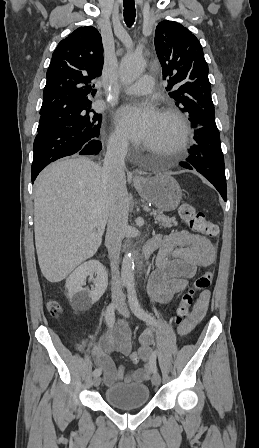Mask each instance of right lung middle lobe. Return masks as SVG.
Returning <instances> with one entry per match:
<instances>
[{
    "label": "right lung middle lobe",
    "instance_id": "obj_1",
    "mask_svg": "<svg viewBox=\"0 0 259 448\" xmlns=\"http://www.w3.org/2000/svg\"><path fill=\"white\" fill-rule=\"evenodd\" d=\"M40 115L38 133L56 127H72L96 136L100 133L102 115L91 109V105Z\"/></svg>",
    "mask_w": 259,
    "mask_h": 448
}]
</instances>
